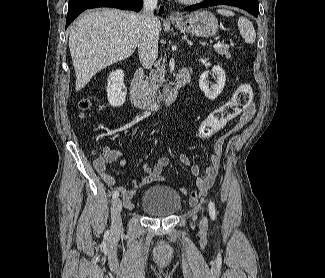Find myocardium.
<instances>
[{
  "mask_svg": "<svg viewBox=\"0 0 325 278\" xmlns=\"http://www.w3.org/2000/svg\"><path fill=\"white\" fill-rule=\"evenodd\" d=\"M180 2L184 3V4H198L201 3L205 0H179Z\"/></svg>",
  "mask_w": 325,
  "mask_h": 278,
  "instance_id": "myocardium-1",
  "label": "myocardium"
}]
</instances>
